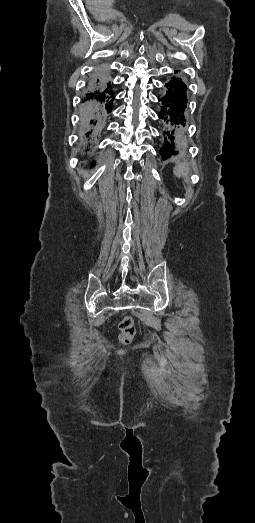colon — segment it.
Masks as SVG:
<instances>
[{"instance_id":"obj_1","label":"colon","mask_w":255,"mask_h":523,"mask_svg":"<svg viewBox=\"0 0 255 523\" xmlns=\"http://www.w3.org/2000/svg\"><path fill=\"white\" fill-rule=\"evenodd\" d=\"M135 323L131 316H124L119 322V340L123 344L132 342L135 335Z\"/></svg>"}]
</instances>
